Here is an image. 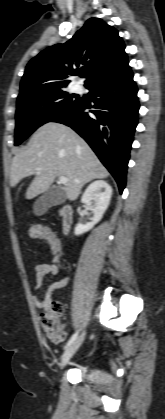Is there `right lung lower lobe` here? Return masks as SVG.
I'll return each mask as SVG.
<instances>
[{"label": "right lung lower lobe", "mask_w": 165, "mask_h": 419, "mask_svg": "<svg viewBox=\"0 0 165 419\" xmlns=\"http://www.w3.org/2000/svg\"><path fill=\"white\" fill-rule=\"evenodd\" d=\"M94 102L82 99L70 111L50 122L65 124L82 136L110 171L122 193L133 135L138 124L137 87L128 62L115 72L87 86Z\"/></svg>", "instance_id": "obj_1"}]
</instances>
